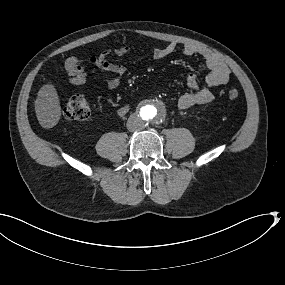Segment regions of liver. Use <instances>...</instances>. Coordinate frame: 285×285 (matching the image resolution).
<instances>
[{
    "label": "liver",
    "instance_id": "obj_1",
    "mask_svg": "<svg viewBox=\"0 0 285 285\" xmlns=\"http://www.w3.org/2000/svg\"><path fill=\"white\" fill-rule=\"evenodd\" d=\"M36 118L44 129L55 127L62 115L60 97L52 81L43 84L34 103Z\"/></svg>",
    "mask_w": 285,
    "mask_h": 285
}]
</instances>
